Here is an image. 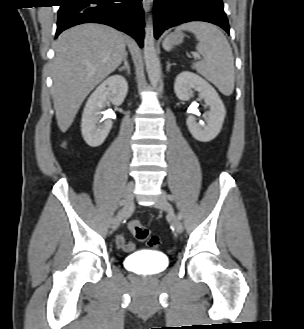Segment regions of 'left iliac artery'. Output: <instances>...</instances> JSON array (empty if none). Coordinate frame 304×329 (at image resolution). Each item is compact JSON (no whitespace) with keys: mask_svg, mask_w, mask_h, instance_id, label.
Listing matches in <instances>:
<instances>
[{"mask_svg":"<svg viewBox=\"0 0 304 329\" xmlns=\"http://www.w3.org/2000/svg\"><path fill=\"white\" fill-rule=\"evenodd\" d=\"M167 197H168V199H169L170 201H174V197H173V195H170V194H169ZM178 218H179V219H182V214H181V213L178 214Z\"/></svg>","mask_w":304,"mask_h":329,"instance_id":"44dca946","label":"left iliac artery"}]
</instances>
